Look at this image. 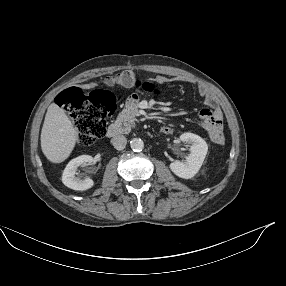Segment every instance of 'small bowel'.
Returning <instances> with one entry per match:
<instances>
[{
    "label": "small bowel",
    "instance_id": "1",
    "mask_svg": "<svg viewBox=\"0 0 286 286\" xmlns=\"http://www.w3.org/2000/svg\"><path fill=\"white\" fill-rule=\"evenodd\" d=\"M112 83L130 87L139 85L141 82L138 78L135 77L134 73L131 71H123L117 74L110 80ZM156 82L159 84H163L165 80L163 78H157ZM198 94L201 98H203L206 108H204L200 113L201 125L206 130L208 125L214 121H219L223 123V114L219 107L215 105V100L210 91L204 87H198ZM162 132L165 134H169L172 131L170 126H163Z\"/></svg>",
    "mask_w": 286,
    "mask_h": 286
}]
</instances>
